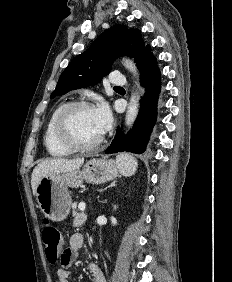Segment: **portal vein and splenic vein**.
Returning <instances> with one entry per match:
<instances>
[{
  "instance_id": "18ae733b",
  "label": "portal vein and splenic vein",
  "mask_w": 232,
  "mask_h": 282,
  "mask_svg": "<svg viewBox=\"0 0 232 282\" xmlns=\"http://www.w3.org/2000/svg\"><path fill=\"white\" fill-rule=\"evenodd\" d=\"M78 207L81 211H85L86 204L84 202H81Z\"/></svg>"
}]
</instances>
